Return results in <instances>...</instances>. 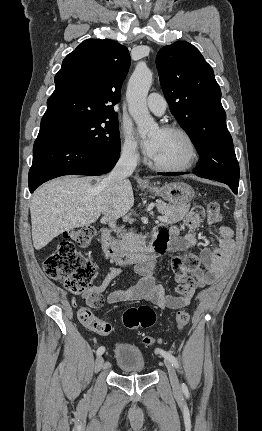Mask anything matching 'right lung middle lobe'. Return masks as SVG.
I'll use <instances>...</instances> for the list:
<instances>
[{
	"label": "right lung middle lobe",
	"mask_w": 262,
	"mask_h": 431,
	"mask_svg": "<svg viewBox=\"0 0 262 431\" xmlns=\"http://www.w3.org/2000/svg\"><path fill=\"white\" fill-rule=\"evenodd\" d=\"M39 133L69 137L107 151L120 148L116 116L80 118L40 127Z\"/></svg>",
	"instance_id": "right-lung-middle-lobe-1"
}]
</instances>
